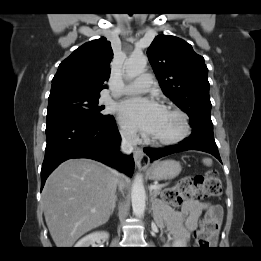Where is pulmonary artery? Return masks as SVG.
<instances>
[{
    "instance_id": "obj_1",
    "label": "pulmonary artery",
    "mask_w": 261,
    "mask_h": 261,
    "mask_svg": "<svg viewBox=\"0 0 261 261\" xmlns=\"http://www.w3.org/2000/svg\"><path fill=\"white\" fill-rule=\"evenodd\" d=\"M153 86V78L151 74H141L131 83L126 85L123 89V94L133 95L138 93H144L151 89Z\"/></svg>"
}]
</instances>
